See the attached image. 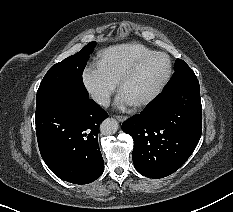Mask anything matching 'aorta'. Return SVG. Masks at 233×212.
<instances>
[{
	"instance_id": "1",
	"label": "aorta",
	"mask_w": 233,
	"mask_h": 212,
	"mask_svg": "<svg viewBox=\"0 0 233 212\" xmlns=\"http://www.w3.org/2000/svg\"><path fill=\"white\" fill-rule=\"evenodd\" d=\"M118 122L114 118H107L105 119L101 126H100V131L103 135H112L117 132L118 130Z\"/></svg>"
}]
</instances>
